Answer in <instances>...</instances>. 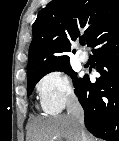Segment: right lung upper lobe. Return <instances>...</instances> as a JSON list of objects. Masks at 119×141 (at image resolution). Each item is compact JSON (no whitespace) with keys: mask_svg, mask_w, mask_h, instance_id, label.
<instances>
[{"mask_svg":"<svg viewBox=\"0 0 119 141\" xmlns=\"http://www.w3.org/2000/svg\"><path fill=\"white\" fill-rule=\"evenodd\" d=\"M119 17V0H52L32 26L28 75L69 63L71 41L82 29L90 46L111 20ZM74 52V51H73Z\"/></svg>","mask_w":119,"mask_h":141,"instance_id":"cb5924a9","label":"right lung upper lobe"}]
</instances>
